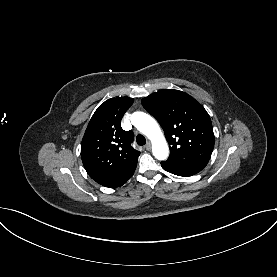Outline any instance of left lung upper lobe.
<instances>
[{
    "mask_svg": "<svg viewBox=\"0 0 277 277\" xmlns=\"http://www.w3.org/2000/svg\"><path fill=\"white\" fill-rule=\"evenodd\" d=\"M141 102L158 120L170 145V156L163 162L207 165L214 148V133L210 116L198 101L182 91L165 89Z\"/></svg>",
    "mask_w": 277,
    "mask_h": 277,
    "instance_id": "left-lung-upper-lobe-1",
    "label": "left lung upper lobe"
}]
</instances>
